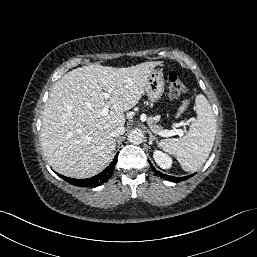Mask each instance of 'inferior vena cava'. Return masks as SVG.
<instances>
[{
	"label": "inferior vena cava",
	"mask_w": 257,
	"mask_h": 257,
	"mask_svg": "<svg viewBox=\"0 0 257 257\" xmlns=\"http://www.w3.org/2000/svg\"><path fill=\"white\" fill-rule=\"evenodd\" d=\"M125 132V128L123 126L117 127L115 129H113L110 133V135L112 137H118L120 135H122Z\"/></svg>",
	"instance_id": "obj_1"
}]
</instances>
